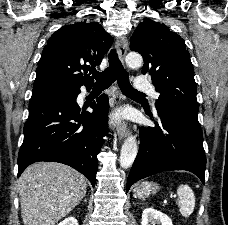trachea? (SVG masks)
I'll list each match as a JSON object with an SVG mask.
<instances>
[{
  "label": "trachea",
  "instance_id": "obj_1",
  "mask_svg": "<svg viewBox=\"0 0 228 225\" xmlns=\"http://www.w3.org/2000/svg\"><path fill=\"white\" fill-rule=\"evenodd\" d=\"M109 67L104 72H97L92 70L91 73L96 80L95 87L108 88L117 80L119 88L125 95L143 96L142 92H138L129 82V76L126 70H124L121 61L118 58V54L115 49H112L109 53Z\"/></svg>",
  "mask_w": 228,
  "mask_h": 225
}]
</instances>
